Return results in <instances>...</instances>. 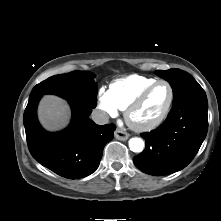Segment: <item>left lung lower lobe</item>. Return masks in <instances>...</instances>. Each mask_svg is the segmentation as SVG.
<instances>
[{
  "mask_svg": "<svg viewBox=\"0 0 221 221\" xmlns=\"http://www.w3.org/2000/svg\"><path fill=\"white\" fill-rule=\"evenodd\" d=\"M208 102L203 89L189 92L173 101L165 122L141 134L145 150L133 158L142 172L167 175L182 170L194 158L208 130Z\"/></svg>",
  "mask_w": 221,
  "mask_h": 221,
  "instance_id": "obj_1",
  "label": "left lung lower lobe"
}]
</instances>
